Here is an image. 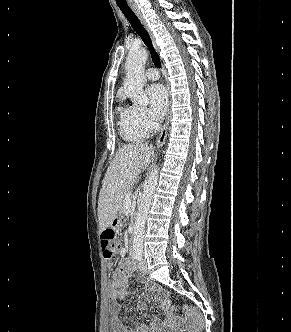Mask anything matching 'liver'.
<instances>
[{"mask_svg":"<svg viewBox=\"0 0 291 332\" xmlns=\"http://www.w3.org/2000/svg\"><path fill=\"white\" fill-rule=\"evenodd\" d=\"M154 148L143 142L123 145L107 168L98 199L99 232L111 226L120 214L123 195L150 164Z\"/></svg>","mask_w":291,"mask_h":332,"instance_id":"1","label":"liver"}]
</instances>
